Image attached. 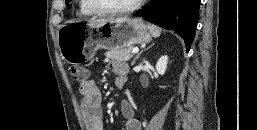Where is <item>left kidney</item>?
Masks as SVG:
<instances>
[{"label":"left kidney","instance_id":"5707ae66","mask_svg":"<svg viewBox=\"0 0 257 130\" xmlns=\"http://www.w3.org/2000/svg\"><path fill=\"white\" fill-rule=\"evenodd\" d=\"M168 63V56H162L156 64V71L158 74L163 75L165 74L166 68Z\"/></svg>","mask_w":257,"mask_h":130}]
</instances>
